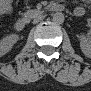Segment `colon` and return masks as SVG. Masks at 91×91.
<instances>
[{"label": "colon", "instance_id": "5ec220e1", "mask_svg": "<svg viewBox=\"0 0 91 91\" xmlns=\"http://www.w3.org/2000/svg\"><path fill=\"white\" fill-rule=\"evenodd\" d=\"M0 6H1V10L3 12H7L8 11V8L10 6V2L7 1V0H4V1L1 2V5Z\"/></svg>", "mask_w": 91, "mask_h": 91}]
</instances>
